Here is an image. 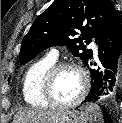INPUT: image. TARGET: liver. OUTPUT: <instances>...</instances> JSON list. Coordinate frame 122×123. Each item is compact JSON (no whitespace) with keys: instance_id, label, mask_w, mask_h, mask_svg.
Instances as JSON below:
<instances>
[{"instance_id":"6515ba94","label":"liver","mask_w":122,"mask_h":123,"mask_svg":"<svg viewBox=\"0 0 122 123\" xmlns=\"http://www.w3.org/2000/svg\"><path fill=\"white\" fill-rule=\"evenodd\" d=\"M62 111H47L30 109L19 111L13 123H50L55 120Z\"/></svg>"}]
</instances>
